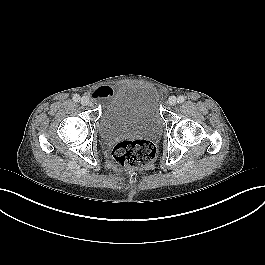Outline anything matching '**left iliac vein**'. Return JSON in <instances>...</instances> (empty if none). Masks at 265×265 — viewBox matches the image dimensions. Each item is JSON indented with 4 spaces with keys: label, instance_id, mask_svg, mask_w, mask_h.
Here are the masks:
<instances>
[{
    "label": "left iliac vein",
    "instance_id": "obj_1",
    "mask_svg": "<svg viewBox=\"0 0 265 265\" xmlns=\"http://www.w3.org/2000/svg\"><path fill=\"white\" fill-rule=\"evenodd\" d=\"M177 103V98L174 96L169 97L168 104L174 106Z\"/></svg>",
    "mask_w": 265,
    "mask_h": 265
}]
</instances>
